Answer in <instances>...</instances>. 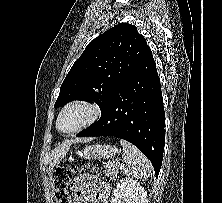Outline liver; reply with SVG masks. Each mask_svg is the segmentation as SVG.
<instances>
[{
    "mask_svg": "<svg viewBox=\"0 0 222 203\" xmlns=\"http://www.w3.org/2000/svg\"><path fill=\"white\" fill-rule=\"evenodd\" d=\"M88 139H75V140H69L64 142L61 146L57 147L53 153H52V157H51V162L49 165V170L50 172L52 171L53 167L56 166V164H58L62 158L66 155V153L69 151L70 146L77 142V141H84L86 142Z\"/></svg>",
    "mask_w": 222,
    "mask_h": 203,
    "instance_id": "1",
    "label": "liver"
}]
</instances>
